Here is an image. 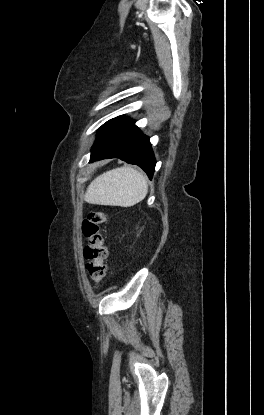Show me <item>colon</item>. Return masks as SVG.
<instances>
[{
	"mask_svg": "<svg viewBox=\"0 0 264 415\" xmlns=\"http://www.w3.org/2000/svg\"><path fill=\"white\" fill-rule=\"evenodd\" d=\"M106 220V211L93 210L86 215L81 224L82 235L87 240L83 251L86 271L90 280L96 285L102 281L106 273L108 249L102 232Z\"/></svg>",
	"mask_w": 264,
	"mask_h": 415,
	"instance_id": "colon-1",
	"label": "colon"
}]
</instances>
